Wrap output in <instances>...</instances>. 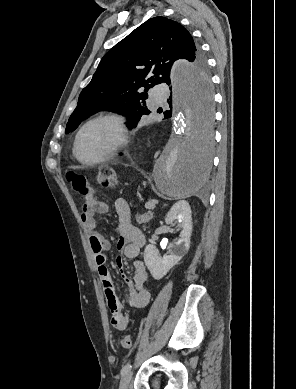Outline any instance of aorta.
<instances>
[{"instance_id": "762f6f07", "label": "aorta", "mask_w": 296, "mask_h": 389, "mask_svg": "<svg viewBox=\"0 0 296 389\" xmlns=\"http://www.w3.org/2000/svg\"><path fill=\"white\" fill-rule=\"evenodd\" d=\"M175 108V134L154 169L157 189L171 197H186L202 189L214 151V105L211 73L191 67L185 60L175 63L171 80Z\"/></svg>"}]
</instances>
